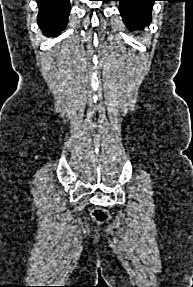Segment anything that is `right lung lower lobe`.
Here are the masks:
<instances>
[{"mask_svg":"<svg viewBox=\"0 0 193 287\" xmlns=\"http://www.w3.org/2000/svg\"><path fill=\"white\" fill-rule=\"evenodd\" d=\"M38 24L46 36H57L67 25L69 0H37Z\"/></svg>","mask_w":193,"mask_h":287,"instance_id":"obj_1","label":"right lung lower lobe"}]
</instances>
